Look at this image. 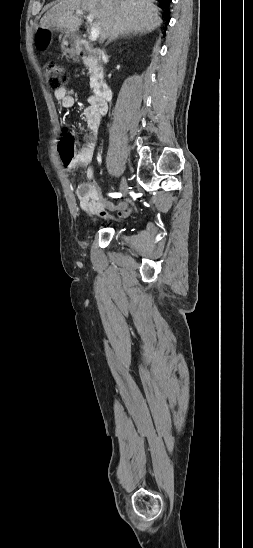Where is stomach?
Instances as JSON below:
<instances>
[{"label":"stomach","mask_w":253,"mask_h":548,"mask_svg":"<svg viewBox=\"0 0 253 548\" xmlns=\"http://www.w3.org/2000/svg\"><path fill=\"white\" fill-rule=\"evenodd\" d=\"M62 50L69 54H75L77 51L76 42L73 41L72 35L66 34L62 41Z\"/></svg>","instance_id":"1"}]
</instances>
